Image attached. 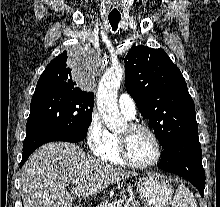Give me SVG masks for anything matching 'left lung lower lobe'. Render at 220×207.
<instances>
[{"label": "left lung lower lobe", "instance_id": "1", "mask_svg": "<svg viewBox=\"0 0 220 207\" xmlns=\"http://www.w3.org/2000/svg\"><path fill=\"white\" fill-rule=\"evenodd\" d=\"M159 168L178 174L190 181L204 196L205 171L198 131L177 138L162 153Z\"/></svg>", "mask_w": 220, "mask_h": 207}]
</instances>
